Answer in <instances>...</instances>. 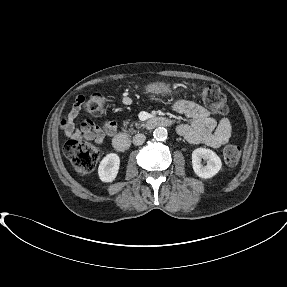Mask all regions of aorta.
I'll list each match as a JSON object with an SVG mask.
<instances>
[{
    "label": "aorta",
    "instance_id": "1",
    "mask_svg": "<svg viewBox=\"0 0 287 287\" xmlns=\"http://www.w3.org/2000/svg\"><path fill=\"white\" fill-rule=\"evenodd\" d=\"M153 136L155 139L163 141L167 138L168 133L164 127H157L153 132Z\"/></svg>",
    "mask_w": 287,
    "mask_h": 287
}]
</instances>
